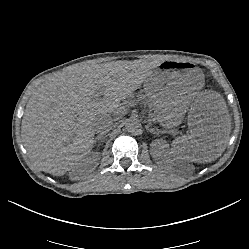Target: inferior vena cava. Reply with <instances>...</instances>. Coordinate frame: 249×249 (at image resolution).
<instances>
[{"label": "inferior vena cava", "mask_w": 249, "mask_h": 249, "mask_svg": "<svg viewBox=\"0 0 249 249\" xmlns=\"http://www.w3.org/2000/svg\"><path fill=\"white\" fill-rule=\"evenodd\" d=\"M113 118L109 114H104L101 118L94 123L93 129L95 132L106 134L112 129Z\"/></svg>", "instance_id": "1"}]
</instances>
